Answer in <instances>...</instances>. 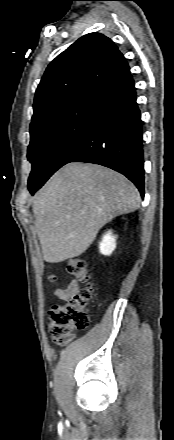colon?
Masks as SVG:
<instances>
[{
	"instance_id": "5ec220e1",
	"label": "colon",
	"mask_w": 174,
	"mask_h": 440,
	"mask_svg": "<svg viewBox=\"0 0 174 440\" xmlns=\"http://www.w3.org/2000/svg\"><path fill=\"white\" fill-rule=\"evenodd\" d=\"M68 271L75 278L86 284V287L67 299L54 304L49 310L48 330L52 340L59 346L67 345L73 338V331L83 330L88 326L87 305L92 298V276L87 264L80 258L68 260ZM54 281V275H50Z\"/></svg>"
}]
</instances>
